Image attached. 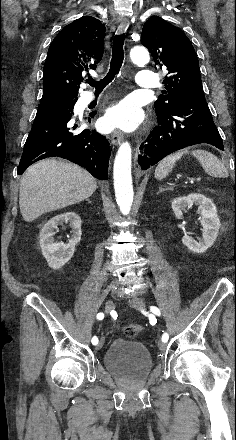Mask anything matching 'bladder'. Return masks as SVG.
Returning <instances> with one entry per match:
<instances>
[{"label": "bladder", "instance_id": "bladder-1", "mask_svg": "<svg viewBox=\"0 0 236 440\" xmlns=\"http://www.w3.org/2000/svg\"><path fill=\"white\" fill-rule=\"evenodd\" d=\"M104 365L108 372L122 377L131 372H147L152 366V358L142 342L116 338L104 354Z\"/></svg>", "mask_w": 236, "mask_h": 440}]
</instances>
